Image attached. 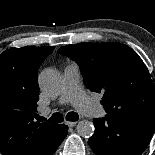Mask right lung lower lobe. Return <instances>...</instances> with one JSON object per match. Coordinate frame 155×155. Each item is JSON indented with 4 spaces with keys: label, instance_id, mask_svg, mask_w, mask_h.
I'll list each match as a JSON object with an SVG mask.
<instances>
[{
    "label": "right lung lower lobe",
    "instance_id": "98d812e1",
    "mask_svg": "<svg viewBox=\"0 0 155 155\" xmlns=\"http://www.w3.org/2000/svg\"><path fill=\"white\" fill-rule=\"evenodd\" d=\"M60 129H61L60 141L57 143L56 147L51 151V153L49 155H52L56 151L57 147L61 144V142L67 135L68 127L66 125H60Z\"/></svg>",
    "mask_w": 155,
    "mask_h": 155
}]
</instances>
